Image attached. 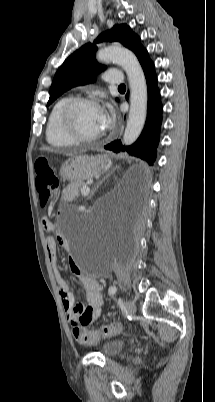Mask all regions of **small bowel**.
Here are the masks:
<instances>
[{"label": "small bowel", "instance_id": "small-bowel-1", "mask_svg": "<svg viewBox=\"0 0 215 402\" xmlns=\"http://www.w3.org/2000/svg\"><path fill=\"white\" fill-rule=\"evenodd\" d=\"M46 229V228H45ZM49 232H55L53 222L51 226L46 229ZM57 244L64 249H67L69 243L65 236L57 231V241L53 237L46 239V249L48 252L49 260L56 278L58 285V292L62 301V305L67 319L70 323L75 325H89L98 320L104 310L102 298V285L95 279L81 273L79 267L72 261L70 263L71 271L78 276L82 286L86 292V300L88 306L83 304H76L73 294L70 292L66 279L61 274L57 262ZM88 311L90 314L87 316ZM86 318V320H84Z\"/></svg>", "mask_w": 215, "mask_h": 402}]
</instances>
